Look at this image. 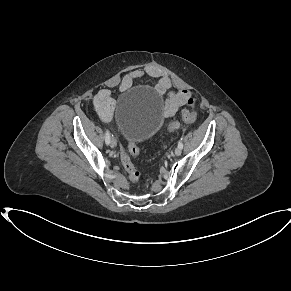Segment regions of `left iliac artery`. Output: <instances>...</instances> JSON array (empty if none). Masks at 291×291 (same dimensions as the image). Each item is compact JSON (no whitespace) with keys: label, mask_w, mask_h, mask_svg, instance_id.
Segmentation results:
<instances>
[{"label":"left iliac artery","mask_w":291,"mask_h":291,"mask_svg":"<svg viewBox=\"0 0 291 291\" xmlns=\"http://www.w3.org/2000/svg\"><path fill=\"white\" fill-rule=\"evenodd\" d=\"M178 146L181 147V148H183V142L182 141H179Z\"/></svg>","instance_id":"1"}]
</instances>
